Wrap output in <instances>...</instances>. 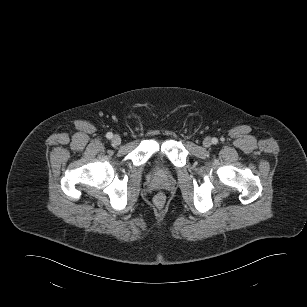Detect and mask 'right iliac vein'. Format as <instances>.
<instances>
[{"label": "right iliac vein", "instance_id": "obj_1", "mask_svg": "<svg viewBox=\"0 0 307 307\" xmlns=\"http://www.w3.org/2000/svg\"><path fill=\"white\" fill-rule=\"evenodd\" d=\"M112 143L113 145H120L121 143V138L119 135H115L113 138H112Z\"/></svg>", "mask_w": 307, "mask_h": 307}]
</instances>
